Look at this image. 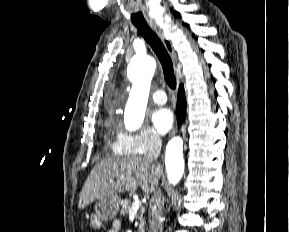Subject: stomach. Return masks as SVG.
<instances>
[{
  "instance_id": "obj_1",
  "label": "stomach",
  "mask_w": 289,
  "mask_h": 232,
  "mask_svg": "<svg viewBox=\"0 0 289 232\" xmlns=\"http://www.w3.org/2000/svg\"><path fill=\"white\" fill-rule=\"evenodd\" d=\"M121 201L117 195L98 199L94 206V213L87 217L93 229H99L106 221L113 220L119 210Z\"/></svg>"
}]
</instances>
